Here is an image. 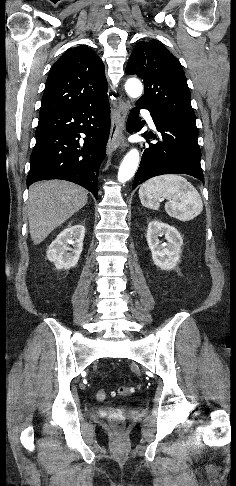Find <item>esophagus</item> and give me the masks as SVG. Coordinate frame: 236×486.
I'll use <instances>...</instances> for the list:
<instances>
[{
  "label": "esophagus",
  "mask_w": 236,
  "mask_h": 486,
  "mask_svg": "<svg viewBox=\"0 0 236 486\" xmlns=\"http://www.w3.org/2000/svg\"><path fill=\"white\" fill-rule=\"evenodd\" d=\"M129 107V102L127 100L121 99H119L117 104L115 105L111 118L110 135L107 144L108 155L124 144V132Z\"/></svg>",
  "instance_id": "obj_1"
}]
</instances>
